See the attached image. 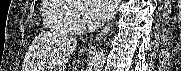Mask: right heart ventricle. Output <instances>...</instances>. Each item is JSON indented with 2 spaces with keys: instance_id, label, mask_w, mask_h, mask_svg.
I'll return each mask as SVG.
<instances>
[{
  "instance_id": "obj_1",
  "label": "right heart ventricle",
  "mask_w": 181,
  "mask_h": 71,
  "mask_svg": "<svg viewBox=\"0 0 181 71\" xmlns=\"http://www.w3.org/2000/svg\"><path fill=\"white\" fill-rule=\"evenodd\" d=\"M72 6L60 0H46L43 5L44 24L51 30L72 33L68 23V13Z\"/></svg>"
}]
</instances>
